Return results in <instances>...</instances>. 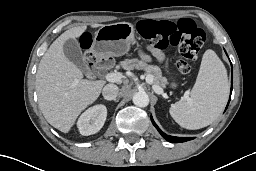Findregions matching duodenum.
<instances>
[{
  "label": "duodenum",
  "instance_id": "1",
  "mask_svg": "<svg viewBox=\"0 0 256 171\" xmlns=\"http://www.w3.org/2000/svg\"><path fill=\"white\" fill-rule=\"evenodd\" d=\"M96 65L100 68H108L112 65V60L108 57L97 58Z\"/></svg>",
  "mask_w": 256,
  "mask_h": 171
}]
</instances>
